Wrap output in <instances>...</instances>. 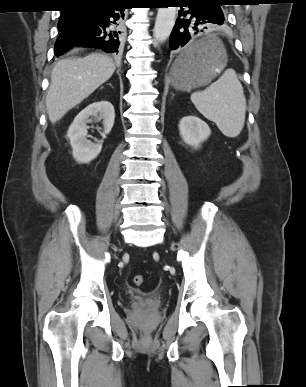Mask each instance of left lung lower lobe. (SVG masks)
I'll return each mask as SVG.
<instances>
[{
  "mask_svg": "<svg viewBox=\"0 0 306 387\" xmlns=\"http://www.w3.org/2000/svg\"><path fill=\"white\" fill-rule=\"evenodd\" d=\"M181 10L179 11L173 31L170 35L169 46L172 50L185 47L188 48L187 43L191 40L194 34L199 32L198 26L217 24L225 25L226 19L220 6L221 3L212 1L199 0H180ZM186 7V9L182 7ZM207 29V27H204ZM196 31V32H193ZM203 32V30H201ZM184 50V51H185ZM200 54L201 50L194 48ZM183 51V52H184ZM193 54L189 50L182 56V63L186 64L193 58Z\"/></svg>",
  "mask_w": 306,
  "mask_h": 387,
  "instance_id": "obj_1",
  "label": "left lung lower lobe"
}]
</instances>
